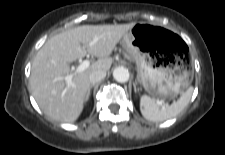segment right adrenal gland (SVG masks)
Wrapping results in <instances>:
<instances>
[{"label": "right adrenal gland", "mask_w": 225, "mask_h": 155, "mask_svg": "<svg viewBox=\"0 0 225 155\" xmlns=\"http://www.w3.org/2000/svg\"><path fill=\"white\" fill-rule=\"evenodd\" d=\"M92 87H94V85H91V86H90V88H89V90H88V93H87V98H86V100L89 99V96H90V92H91Z\"/></svg>", "instance_id": "obj_1"}]
</instances>
